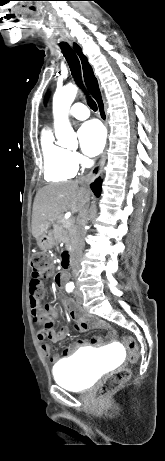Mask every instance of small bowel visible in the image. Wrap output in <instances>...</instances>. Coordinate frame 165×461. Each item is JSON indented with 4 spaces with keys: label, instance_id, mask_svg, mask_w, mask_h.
Here are the masks:
<instances>
[{
    "label": "small bowel",
    "instance_id": "obj_1",
    "mask_svg": "<svg viewBox=\"0 0 165 461\" xmlns=\"http://www.w3.org/2000/svg\"><path fill=\"white\" fill-rule=\"evenodd\" d=\"M63 277V271H56L54 284L58 289H61L64 286ZM63 305L68 310L69 317L76 320L77 328L80 331H87L90 328L100 329L107 331V339L109 341L114 339L115 332L106 322L91 321L86 319L79 311L73 309L71 302L68 300H63ZM29 306L34 323L40 325V329L37 332L36 337L41 344L42 352L47 358H50L52 362H57L59 357H56L52 354L51 346L46 343V339L48 338L54 343L60 342L68 336L69 329L67 327H62L59 331H56L54 328V320L58 315L57 309L50 304H46L45 306L41 307L39 304V299H37L33 294L30 295ZM101 342V338L95 337L92 339L91 343L94 345H99ZM87 345H89V341L87 340H76L72 345L64 350L63 356H68L74 351Z\"/></svg>",
    "mask_w": 165,
    "mask_h": 461
}]
</instances>
